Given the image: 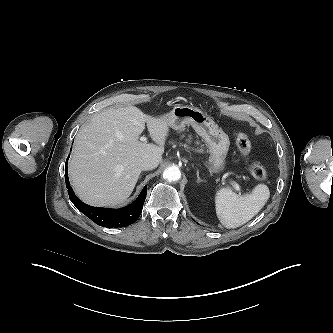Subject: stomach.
<instances>
[{"instance_id": "obj_1", "label": "stomach", "mask_w": 333, "mask_h": 333, "mask_svg": "<svg viewBox=\"0 0 333 333\" xmlns=\"http://www.w3.org/2000/svg\"><path fill=\"white\" fill-rule=\"evenodd\" d=\"M163 117L167 118L169 127L174 130H183L186 125H191L209 148L210 170L219 172L224 169L225 159L230 146L229 137L203 111L190 106L178 105L170 113L163 115Z\"/></svg>"}]
</instances>
